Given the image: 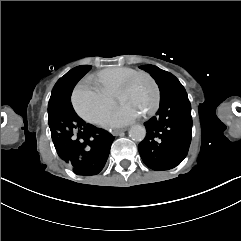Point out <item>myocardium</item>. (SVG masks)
<instances>
[{"label": "myocardium", "instance_id": "f54148a6", "mask_svg": "<svg viewBox=\"0 0 241 241\" xmlns=\"http://www.w3.org/2000/svg\"><path fill=\"white\" fill-rule=\"evenodd\" d=\"M139 75H143L145 78H147V80L151 83V85L153 86L155 90V93H156V96H155V100H154V103L153 105L149 108V110L146 111V114L147 115H150V114H153L154 113V110L156 109V107L158 106L159 102H160V99H161V91L158 88V85L156 84L155 82V79L151 76H149V73L148 72H144V71H133L131 73H128V74H125L122 79H121V83H120V88L118 89L117 93H118V98L119 99H124L125 98V95H124V92H125V89L127 87H129V85L138 79Z\"/></svg>", "mask_w": 241, "mask_h": 241}]
</instances>
